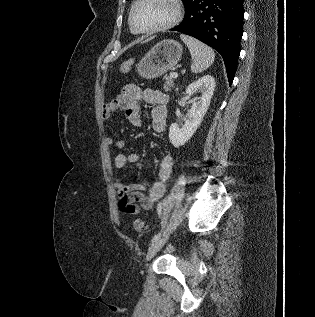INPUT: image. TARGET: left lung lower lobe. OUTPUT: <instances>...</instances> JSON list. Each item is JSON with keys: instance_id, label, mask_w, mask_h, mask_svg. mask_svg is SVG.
<instances>
[{"instance_id": "left-lung-lower-lobe-1", "label": "left lung lower lobe", "mask_w": 315, "mask_h": 317, "mask_svg": "<svg viewBox=\"0 0 315 317\" xmlns=\"http://www.w3.org/2000/svg\"><path fill=\"white\" fill-rule=\"evenodd\" d=\"M243 18V0H193L172 31L193 36L218 51L231 85L241 50Z\"/></svg>"}]
</instances>
